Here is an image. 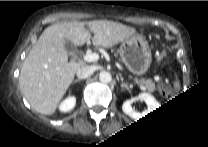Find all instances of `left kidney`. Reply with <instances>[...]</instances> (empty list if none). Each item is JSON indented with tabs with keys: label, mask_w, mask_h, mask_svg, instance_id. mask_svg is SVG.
<instances>
[{
	"label": "left kidney",
	"mask_w": 208,
	"mask_h": 147,
	"mask_svg": "<svg viewBox=\"0 0 208 147\" xmlns=\"http://www.w3.org/2000/svg\"><path fill=\"white\" fill-rule=\"evenodd\" d=\"M133 101L144 102L147 106V109L142 112L136 111L134 108H132L131 105ZM159 107L160 104L155 100V98L152 95L148 93H141L135 96L133 99L124 101L122 105V110L125 114L129 115L132 119L137 121L142 117L148 115L153 110L158 109Z\"/></svg>",
	"instance_id": "left-kidney-1"
}]
</instances>
